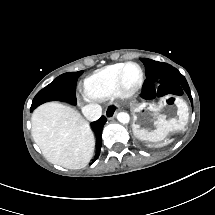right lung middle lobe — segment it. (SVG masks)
I'll use <instances>...</instances> for the list:
<instances>
[{"label":"right lung middle lobe","instance_id":"right-lung-middle-lobe-1","mask_svg":"<svg viewBox=\"0 0 215 215\" xmlns=\"http://www.w3.org/2000/svg\"><path fill=\"white\" fill-rule=\"evenodd\" d=\"M82 73L83 71L69 72L58 76L52 83L36 94L31 105V111L40 104L51 100H60L76 105V82Z\"/></svg>","mask_w":215,"mask_h":215}]
</instances>
